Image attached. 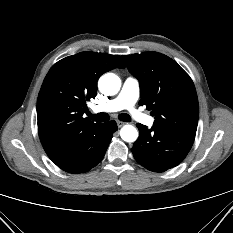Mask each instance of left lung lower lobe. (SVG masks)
<instances>
[{
    "mask_svg": "<svg viewBox=\"0 0 233 233\" xmlns=\"http://www.w3.org/2000/svg\"><path fill=\"white\" fill-rule=\"evenodd\" d=\"M139 137L132 147L136 161L153 172L177 166L190 151L195 133L137 124Z\"/></svg>",
    "mask_w": 233,
    "mask_h": 233,
    "instance_id": "left-lung-lower-lobe-1",
    "label": "left lung lower lobe"
}]
</instances>
